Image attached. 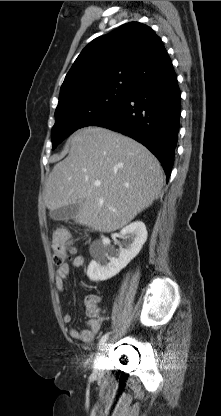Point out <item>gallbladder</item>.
Here are the masks:
<instances>
[{
	"instance_id": "bac80fb5",
	"label": "gallbladder",
	"mask_w": 221,
	"mask_h": 416,
	"mask_svg": "<svg viewBox=\"0 0 221 416\" xmlns=\"http://www.w3.org/2000/svg\"><path fill=\"white\" fill-rule=\"evenodd\" d=\"M79 211V204H72L52 210L49 213L51 219L55 221H64L75 218Z\"/></svg>"
}]
</instances>
